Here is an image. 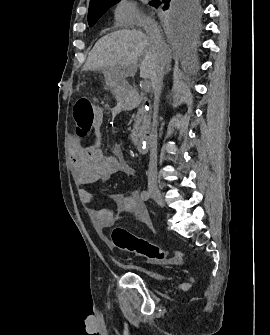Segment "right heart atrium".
Here are the masks:
<instances>
[{"mask_svg": "<svg viewBox=\"0 0 270 335\" xmlns=\"http://www.w3.org/2000/svg\"><path fill=\"white\" fill-rule=\"evenodd\" d=\"M115 19L121 27H139L140 25H157L144 15L133 0H120L115 9Z\"/></svg>", "mask_w": 270, "mask_h": 335, "instance_id": "d8ad5b80", "label": "right heart atrium"}]
</instances>
